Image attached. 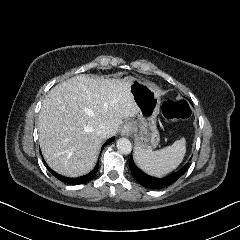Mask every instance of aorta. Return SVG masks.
<instances>
[{"label":"aorta","instance_id":"762f6f07","mask_svg":"<svg viewBox=\"0 0 240 240\" xmlns=\"http://www.w3.org/2000/svg\"><path fill=\"white\" fill-rule=\"evenodd\" d=\"M117 149L121 154H129L132 150V144L127 138L117 140Z\"/></svg>","mask_w":240,"mask_h":240}]
</instances>
